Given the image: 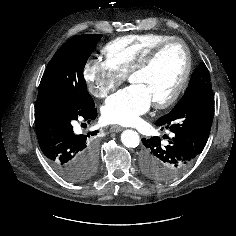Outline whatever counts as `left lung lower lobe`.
<instances>
[{"label": "left lung lower lobe", "instance_id": "obj_1", "mask_svg": "<svg viewBox=\"0 0 236 236\" xmlns=\"http://www.w3.org/2000/svg\"><path fill=\"white\" fill-rule=\"evenodd\" d=\"M214 116V96L206 89L178 111L160 117L155 123L169 129L172 137L162 143L159 137L142 139L145 146L141 170L150 179L166 182L180 175L203 151ZM167 138V136H166Z\"/></svg>", "mask_w": 236, "mask_h": 236}]
</instances>
